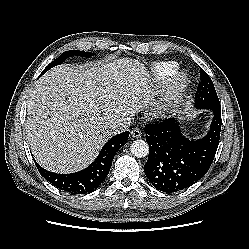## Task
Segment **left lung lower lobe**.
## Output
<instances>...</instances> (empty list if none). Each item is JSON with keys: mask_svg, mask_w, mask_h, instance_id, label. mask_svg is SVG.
<instances>
[{"mask_svg": "<svg viewBox=\"0 0 249 249\" xmlns=\"http://www.w3.org/2000/svg\"><path fill=\"white\" fill-rule=\"evenodd\" d=\"M211 110V127L202 139L185 138L175 118L145 127L150 151L144 172L156 189L180 191L207 173L218 148L222 122L221 108Z\"/></svg>", "mask_w": 249, "mask_h": 249, "instance_id": "obj_1", "label": "left lung lower lobe"}]
</instances>
